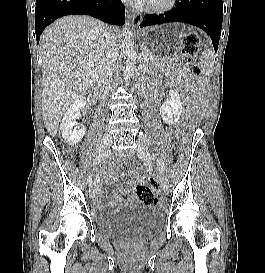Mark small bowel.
<instances>
[{
  "label": "small bowel",
  "mask_w": 265,
  "mask_h": 273,
  "mask_svg": "<svg viewBox=\"0 0 265 273\" xmlns=\"http://www.w3.org/2000/svg\"><path fill=\"white\" fill-rule=\"evenodd\" d=\"M98 190V189H97ZM124 194H126L127 192H128V190H126V189H124L123 191H122ZM97 193V192H96ZM95 207L96 208H101L102 207V201H101V199L100 198H96V200H95Z\"/></svg>",
  "instance_id": "small-bowel-1"
}]
</instances>
